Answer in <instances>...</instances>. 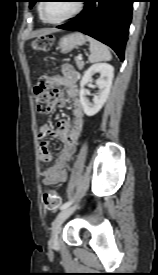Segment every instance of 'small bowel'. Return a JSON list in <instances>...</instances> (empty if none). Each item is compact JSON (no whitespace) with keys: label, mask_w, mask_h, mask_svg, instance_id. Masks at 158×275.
I'll return each instance as SVG.
<instances>
[{"label":"small bowel","mask_w":158,"mask_h":275,"mask_svg":"<svg viewBox=\"0 0 158 275\" xmlns=\"http://www.w3.org/2000/svg\"><path fill=\"white\" fill-rule=\"evenodd\" d=\"M62 75L46 76L41 79L47 87L54 90L55 97L52 107L68 105L72 111L73 121L61 120L55 128L48 124L40 127L38 138L40 140L39 159L43 163L53 161L50 167L42 168L40 177L44 185L52 186L66 180V168L76 150L77 140L84 126V112L78 97L79 73L71 66L62 67ZM65 89V97L61 89ZM54 136L62 142V150L54 155L49 150L47 137Z\"/></svg>","instance_id":"1"}]
</instances>
